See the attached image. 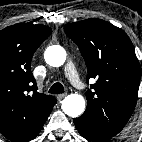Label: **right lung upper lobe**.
I'll return each mask as SVG.
<instances>
[{
  "label": "right lung upper lobe",
  "instance_id": "obj_1",
  "mask_svg": "<svg viewBox=\"0 0 142 142\" xmlns=\"http://www.w3.org/2000/svg\"><path fill=\"white\" fill-rule=\"evenodd\" d=\"M51 33L28 23L0 31V133L13 142L34 139L56 103L37 91L30 70L34 52Z\"/></svg>",
  "mask_w": 142,
  "mask_h": 142
}]
</instances>
